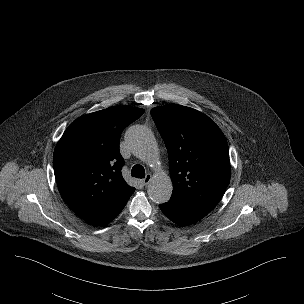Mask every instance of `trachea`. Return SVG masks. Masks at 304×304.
I'll return each instance as SVG.
<instances>
[{
	"instance_id": "trachea-1",
	"label": "trachea",
	"mask_w": 304,
	"mask_h": 304,
	"mask_svg": "<svg viewBox=\"0 0 304 304\" xmlns=\"http://www.w3.org/2000/svg\"><path fill=\"white\" fill-rule=\"evenodd\" d=\"M131 175L136 178H144L145 177L144 167L139 164L134 165L131 170Z\"/></svg>"
}]
</instances>
